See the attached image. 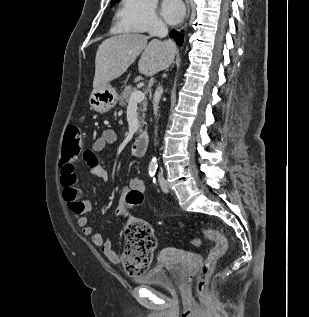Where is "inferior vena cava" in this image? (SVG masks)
I'll list each match as a JSON object with an SVG mask.
<instances>
[{"label": "inferior vena cava", "instance_id": "1", "mask_svg": "<svg viewBox=\"0 0 309 317\" xmlns=\"http://www.w3.org/2000/svg\"><path fill=\"white\" fill-rule=\"evenodd\" d=\"M168 34V29L165 26V24L161 21H157L154 23L152 29L150 30L151 36H157V37H165ZM163 93V88L159 86L154 94V102H153V109H154V115L157 116L158 112V103L159 99ZM155 135H157V130L155 131Z\"/></svg>", "mask_w": 309, "mask_h": 317}]
</instances>
